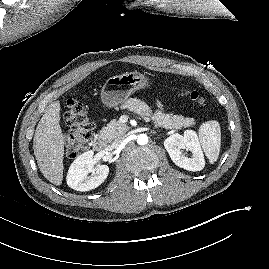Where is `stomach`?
I'll return each mask as SVG.
<instances>
[{
    "label": "stomach",
    "instance_id": "stomach-1",
    "mask_svg": "<svg viewBox=\"0 0 269 269\" xmlns=\"http://www.w3.org/2000/svg\"><path fill=\"white\" fill-rule=\"evenodd\" d=\"M151 82L144 74L133 71L110 77L101 91V100L109 108H118L135 91L148 88Z\"/></svg>",
    "mask_w": 269,
    "mask_h": 269
}]
</instances>
